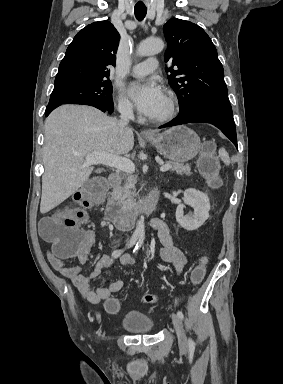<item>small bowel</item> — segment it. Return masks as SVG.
I'll return each instance as SVG.
<instances>
[{
    "instance_id": "1",
    "label": "small bowel",
    "mask_w": 283,
    "mask_h": 384,
    "mask_svg": "<svg viewBox=\"0 0 283 384\" xmlns=\"http://www.w3.org/2000/svg\"><path fill=\"white\" fill-rule=\"evenodd\" d=\"M63 210L61 208L55 210L54 215H61ZM150 226L157 232L158 238L161 242L160 256L162 260L173 265L176 272H180L186 263V256L178 247L174 245L172 236L168 225L160 218H154L150 222ZM93 242V236L91 235L90 243L88 247L77 255V259L80 264H84L87 261L89 247ZM48 259L52 267L57 270L64 277L69 279L74 286L80 292L82 298L89 303L97 304L103 300L110 298L113 294L120 291L124 282L121 279H117L111 282L107 286L97 287L92 289L90 287V281L99 276L105 269L111 267L113 263V256L104 254L95 263L91 273L89 275H82L81 268L79 266L67 265L61 257H59L53 249L48 252ZM122 265L129 266L134 264V259L130 255H123L120 258Z\"/></svg>"
}]
</instances>
